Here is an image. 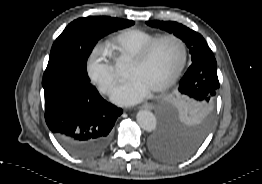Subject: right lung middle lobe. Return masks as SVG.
Here are the masks:
<instances>
[{
	"label": "right lung middle lobe",
	"instance_id": "obj_1",
	"mask_svg": "<svg viewBox=\"0 0 262 184\" xmlns=\"http://www.w3.org/2000/svg\"><path fill=\"white\" fill-rule=\"evenodd\" d=\"M133 24L131 20L103 16L74 20L55 40L43 78L68 72L87 76L85 64L98 40Z\"/></svg>",
	"mask_w": 262,
	"mask_h": 184
}]
</instances>
